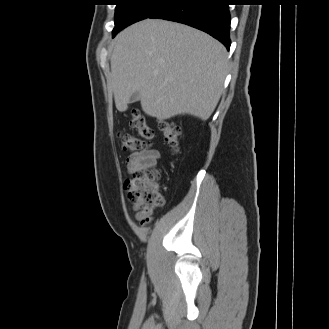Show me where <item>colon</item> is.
Wrapping results in <instances>:
<instances>
[{"mask_svg": "<svg viewBox=\"0 0 329 329\" xmlns=\"http://www.w3.org/2000/svg\"><path fill=\"white\" fill-rule=\"evenodd\" d=\"M129 122L132 127L138 130L140 137L121 133L119 139L123 149L139 152L150 145L154 131L138 110L131 112ZM160 132L169 148L173 152H177L181 139L180 128L172 121L163 120L160 122ZM158 176L157 170H137L124 184L129 200L145 212L163 205V199L155 184Z\"/></svg>", "mask_w": 329, "mask_h": 329, "instance_id": "obj_1", "label": "colon"}]
</instances>
